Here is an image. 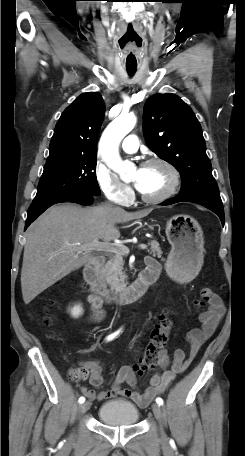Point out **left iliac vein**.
Here are the masks:
<instances>
[{
  "label": "left iliac vein",
  "instance_id": "obj_1",
  "mask_svg": "<svg viewBox=\"0 0 245 456\" xmlns=\"http://www.w3.org/2000/svg\"><path fill=\"white\" fill-rule=\"evenodd\" d=\"M152 411L154 413V416L156 417V419L160 423V433H161V436L164 438L165 437V433H164V430H163V427H162V410H161L160 405L157 404V403L152 404Z\"/></svg>",
  "mask_w": 245,
  "mask_h": 456
}]
</instances>
